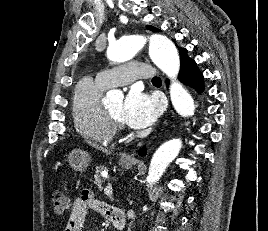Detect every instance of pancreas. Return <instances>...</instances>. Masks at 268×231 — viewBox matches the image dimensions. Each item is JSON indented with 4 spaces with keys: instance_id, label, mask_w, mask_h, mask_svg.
Masks as SVG:
<instances>
[{
    "instance_id": "pancreas-1",
    "label": "pancreas",
    "mask_w": 268,
    "mask_h": 231,
    "mask_svg": "<svg viewBox=\"0 0 268 231\" xmlns=\"http://www.w3.org/2000/svg\"><path fill=\"white\" fill-rule=\"evenodd\" d=\"M104 170L103 166L96 167L95 175H94V184L97 185L98 189H102V184L104 183V180L102 179V176L100 174L101 171Z\"/></svg>"
}]
</instances>
